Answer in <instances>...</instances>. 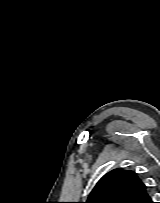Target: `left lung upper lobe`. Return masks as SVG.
Wrapping results in <instances>:
<instances>
[{
  "instance_id": "5c2ea615",
  "label": "left lung upper lobe",
  "mask_w": 160,
  "mask_h": 203,
  "mask_svg": "<svg viewBox=\"0 0 160 203\" xmlns=\"http://www.w3.org/2000/svg\"><path fill=\"white\" fill-rule=\"evenodd\" d=\"M85 203H153L133 171L114 169L96 184Z\"/></svg>"
}]
</instances>
